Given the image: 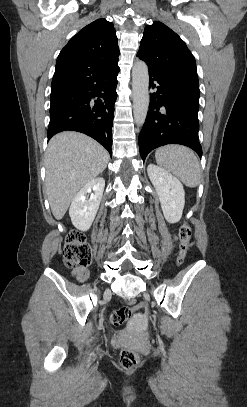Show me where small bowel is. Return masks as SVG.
Returning a JSON list of instances; mask_svg holds the SVG:
<instances>
[{"mask_svg":"<svg viewBox=\"0 0 247 407\" xmlns=\"http://www.w3.org/2000/svg\"><path fill=\"white\" fill-rule=\"evenodd\" d=\"M72 275L75 276L80 282H84L89 277V271L84 266L76 267L72 270Z\"/></svg>","mask_w":247,"mask_h":407,"instance_id":"1","label":"small bowel"}]
</instances>
